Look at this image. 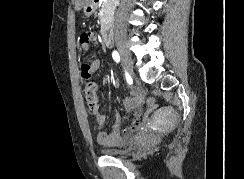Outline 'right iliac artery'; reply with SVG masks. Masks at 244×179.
Wrapping results in <instances>:
<instances>
[{"label":"right iliac artery","instance_id":"right-iliac-artery-1","mask_svg":"<svg viewBox=\"0 0 244 179\" xmlns=\"http://www.w3.org/2000/svg\"><path fill=\"white\" fill-rule=\"evenodd\" d=\"M112 57L113 59L118 63L120 61V56L119 53L117 51H113L112 53ZM126 75L128 76V73H126Z\"/></svg>","mask_w":244,"mask_h":179}]
</instances>
